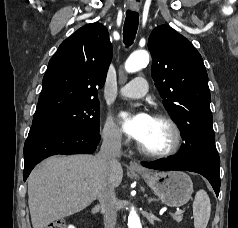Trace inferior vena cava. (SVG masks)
<instances>
[{"label": "inferior vena cava", "instance_id": "inferior-vena-cava-1", "mask_svg": "<svg viewBox=\"0 0 238 228\" xmlns=\"http://www.w3.org/2000/svg\"><path fill=\"white\" fill-rule=\"evenodd\" d=\"M121 156L120 135L116 132L108 133L103 136V143L97 154V161L104 172L118 164V158ZM98 200L101 205V211L104 215V228H115L117 221L116 214V195L114 187L111 185L108 177H105L98 187Z\"/></svg>", "mask_w": 238, "mask_h": 228}]
</instances>
